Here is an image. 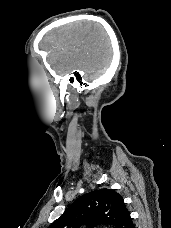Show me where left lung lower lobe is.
Here are the masks:
<instances>
[{
  "mask_svg": "<svg viewBox=\"0 0 171 228\" xmlns=\"http://www.w3.org/2000/svg\"><path fill=\"white\" fill-rule=\"evenodd\" d=\"M125 228H134V225H133V223H132V219H130V220L128 221V223L126 224Z\"/></svg>",
  "mask_w": 171,
  "mask_h": 228,
  "instance_id": "0a47b994",
  "label": "left lung lower lobe"
}]
</instances>
